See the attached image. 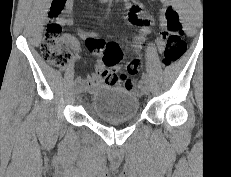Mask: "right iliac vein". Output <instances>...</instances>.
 <instances>
[{
  "mask_svg": "<svg viewBox=\"0 0 231 177\" xmlns=\"http://www.w3.org/2000/svg\"><path fill=\"white\" fill-rule=\"evenodd\" d=\"M83 90H84V88L81 85H78V86L75 87V93L77 95L81 94L83 92Z\"/></svg>",
  "mask_w": 231,
  "mask_h": 177,
  "instance_id": "right-iliac-vein-1",
  "label": "right iliac vein"
}]
</instances>
